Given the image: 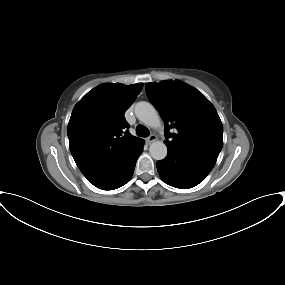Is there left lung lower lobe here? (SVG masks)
<instances>
[{
	"label": "left lung lower lobe",
	"mask_w": 285,
	"mask_h": 285,
	"mask_svg": "<svg viewBox=\"0 0 285 285\" xmlns=\"http://www.w3.org/2000/svg\"><path fill=\"white\" fill-rule=\"evenodd\" d=\"M214 165L190 155L168 150L167 157L157 162V170L168 185L188 189L202 182Z\"/></svg>",
	"instance_id": "left-lung-lower-lobe-1"
}]
</instances>
